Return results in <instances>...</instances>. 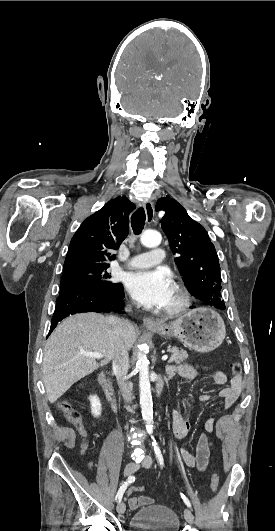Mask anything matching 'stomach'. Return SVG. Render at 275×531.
<instances>
[{
  "mask_svg": "<svg viewBox=\"0 0 275 531\" xmlns=\"http://www.w3.org/2000/svg\"><path fill=\"white\" fill-rule=\"evenodd\" d=\"M158 323L161 327L152 329L153 333L162 335L164 339L176 337L183 345L197 353L214 351L221 345L226 335L222 317L206 307L192 309L175 321H158Z\"/></svg>",
  "mask_w": 275,
  "mask_h": 531,
  "instance_id": "1",
  "label": "stomach"
}]
</instances>
